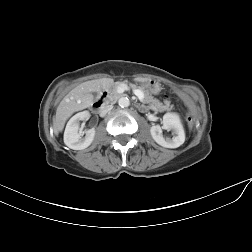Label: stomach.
Here are the masks:
<instances>
[{
  "mask_svg": "<svg viewBox=\"0 0 252 252\" xmlns=\"http://www.w3.org/2000/svg\"><path fill=\"white\" fill-rule=\"evenodd\" d=\"M142 87L151 94H157L161 91V84L156 80H148L143 83Z\"/></svg>",
  "mask_w": 252,
  "mask_h": 252,
  "instance_id": "0dacf381",
  "label": "stomach"
}]
</instances>
